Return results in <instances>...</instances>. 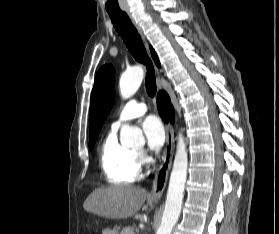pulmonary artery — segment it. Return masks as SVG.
Returning <instances> with one entry per match:
<instances>
[{
  "label": "pulmonary artery",
  "instance_id": "obj_1",
  "mask_svg": "<svg viewBox=\"0 0 279 234\" xmlns=\"http://www.w3.org/2000/svg\"><path fill=\"white\" fill-rule=\"evenodd\" d=\"M146 111L147 106L144 102H140L137 99L128 101L121 109L115 122L112 124V130L117 131L124 122L139 117Z\"/></svg>",
  "mask_w": 279,
  "mask_h": 234
}]
</instances>
